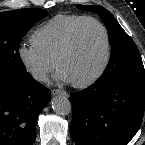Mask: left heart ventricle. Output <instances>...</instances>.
Segmentation results:
<instances>
[{"label":"left heart ventricle","mask_w":145,"mask_h":145,"mask_svg":"<svg viewBox=\"0 0 145 145\" xmlns=\"http://www.w3.org/2000/svg\"><path fill=\"white\" fill-rule=\"evenodd\" d=\"M105 52V38L101 28L93 22H86L80 26L75 46L61 62L59 71L70 82L85 81L101 67Z\"/></svg>","instance_id":"1"}]
</instances>
